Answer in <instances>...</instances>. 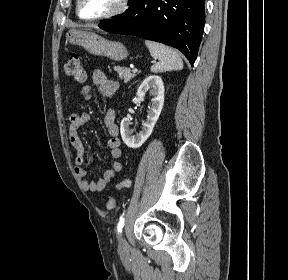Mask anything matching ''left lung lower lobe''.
<instances>
[{
  "label": "left lung lower lobe",
  "instance_id": "0a47b994",
  "mask_svg": "<svg viewBox=\"0 0 288 280\" xmlns=\"http://www.w3.org/2000/svg\"><path fill=\"white\" fill-rule=\"evenodd\" d=\"M205 0H136L118 17L103 21L105 31L130 34L180 50L191 64L204 27Z\"/></svg>",
  "mask_w": 288,
  "mask_h": 280
}]
</instances>
